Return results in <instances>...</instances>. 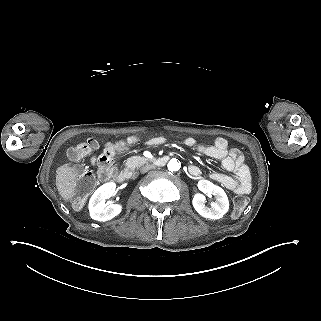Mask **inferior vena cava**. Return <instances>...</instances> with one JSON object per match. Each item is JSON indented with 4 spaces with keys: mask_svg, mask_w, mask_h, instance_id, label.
I'll return each instance as SVG.
<instances>
[{
    "mask_svg": "<svg viewBox=\"0 0 321 321\" xmlns=\"http://www.w3.org/2000/svg\"><path fill=\"white\" fill-rule=\"evenodd\" d=\"M152 169H155V166L154 165H145L144 167L141 168V173H146Z\"/></svg>",
    "mask_w": 321,
    "mask_h": 321,
    "instance_id": "602c4592",
    "label": "inferior vena cava"
}]
</instances>
